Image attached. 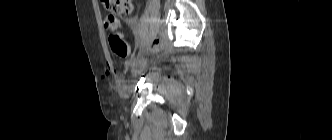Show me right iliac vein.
<instances>
[{"instance_id": "right-iliac-vein-1", "label": "right iliac vein", "mask_w": 332, "mask_h": 140, "mask_svg": "<svg viewBox=\"0 0 332 140\" xmlns=\"http://www.w3.org/2000/svg\"><path fill=\"white\" fill-rule=\"evenodd\" d=\"M146 63H147V60H146L145 58H141V59H139V60L133 65V67H132V73H133V74H136L137 71H138L140 68H142V67H144V66L146 65Z\"/></svg>"}]
</instances>
